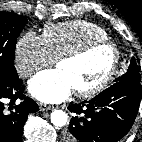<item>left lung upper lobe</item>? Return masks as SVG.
<instances>
[{
	"instance_id": "1",
	"label": "left lung upper lobe",
	"mask_w": 142,
	"mask_h": 142,
	"mask_svg": "<svg viewBox=\"0 0 142 142\" xmlns=\"http://www.w3.org/2000/svg\"><path fill=\"white\" fill-rule=\"evenodd\" d=\"M127 79H141L139 68L134 58L131 59L127 71L122 76L115 79L114 82L116 83Z\"/></svg>"
}]
</instances>
